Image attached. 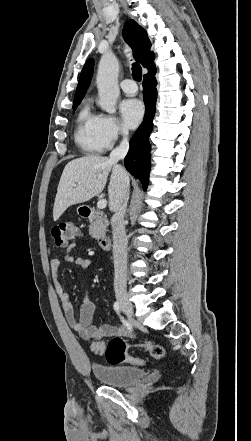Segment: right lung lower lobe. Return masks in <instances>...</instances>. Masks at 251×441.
Listing matches in <instances>:
<instances>
[{"label":"right lung lower lobe","mask_w":251,"mask_h":441,"mask_svg":"<svg viewBox=\"0 0 251 441\" xmlns=\"http://www.w3.org/2000/svg\"><path fill=\"white\" fill-rule=\"evenodd\" d=\"M155 73L156 70L144 75L143 99L145 103V117L142 124L130 139V149L124 159L126 169L141 181L144 190H146L149 182V135L153 129V117L156 111L157 81L155 79Z\"/></svg>","instance_id":"obj_1"}]
</instances>
